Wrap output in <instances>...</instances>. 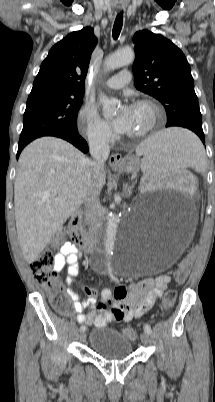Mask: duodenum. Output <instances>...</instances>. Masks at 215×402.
<instances>
[{
  "label": "duodenum",
  "instance_id": "duodenum-1",
  "mask_svg": "<svg viewBox=\"0 0 215 402\" xmlns=\"http://www.w3.org/2000/svg\"><path fill=\"white\" fill-rule=\"evenodd\" d=\"M81 212L75 211L68 223V234L72 241H74L84 252L93 253L96 248V242L84 236L80 231V222H81ZM103 270H107L106 267H102Z\"/></svg>",
  "mask_w": 215,
  "mask_h": 402
}]
</instances>
